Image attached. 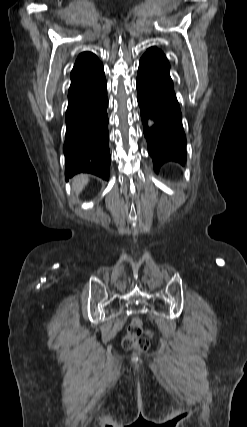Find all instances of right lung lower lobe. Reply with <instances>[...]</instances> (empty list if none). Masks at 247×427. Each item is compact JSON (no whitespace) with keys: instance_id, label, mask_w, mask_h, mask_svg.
Segmentation results:
<instances>
[{"instance_id":"right-lung-lower-lobe-1","label":"right lung lower lobe","mask_w":247,"mask_h":427,"mask_svg":"<svg viewBox=\"0 0 247 427\" xmlns=\"http://www.w3.org/2000/svg\"><path fill=\"white\" fill-rule=\"evenodd\" d=\"M66 111V180L77 173L109 178L107 83L103 67L71 84Z\"/></svg>"}]
</instances>
